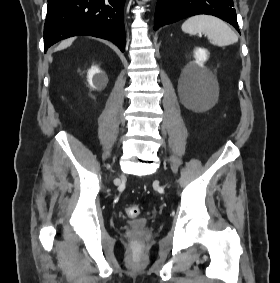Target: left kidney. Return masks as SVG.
<instances>
[{
	"mask_svg": "<svg viewBox=\"0 0 280 283\" xmlns=\"http://www.w3.org/2000/svg\"><path fill=\"white\" fill-rule=\"evenodd\" d=\"M209 52L204 48H195L194 50V57L195 63L200 67H203L204 63L208 59Z\"/></svg>",
	"mask_w": 280,
	"mask_h": 283,
	"instance_id": "1",
	"label": "left kidney"
}]
</instances>
